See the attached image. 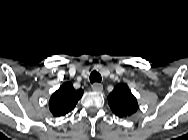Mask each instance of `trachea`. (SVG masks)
<instances>
[{
	"label": "trachea",
	"instance_id": "trachea-1",
	"mask_svg": "<svg viewBox=\"0 0 188 140\" xmlns=\"http://www.w3.org/2000/svg\"><path fill=\"white\" fill-rule=\"evenodd\" d=\"M102 78H101V75L97 72V71H93L91 74H90V82L91 83H94V82H101Z\"/></svg>",
	"mask_w": 188,
	"mask_h": 140
}]
</instances>
